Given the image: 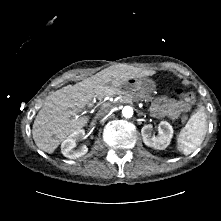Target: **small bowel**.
Here are the masks:
<instances>
[{
	"label": "small bowel",
	"instance_id": "small-bowel-1",
	"mask_svg": "<svg viewBox=\"0 0 221 221\" xmlns=\"http://www.w3.org/2000/svg\"><path fill=\"white\" fill-rule=\"evenodd\" d=\"M189 109L190 107L182 100H175L167 96L157 98L151 107L154 117H169L171 119H176L182 112H187Z\"/></svg>",
	"mask_w": 221,
	"mask_h": 221
}]
</instances>
